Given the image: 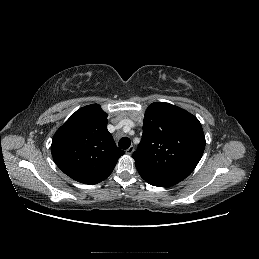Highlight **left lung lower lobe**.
Instances as JSON below:
<instances>
[{"label": "left lung lower lobe", "mask_w": 259, "mask_h": 259, "mask_svg": "<svg viewBox=\"0 0 259 259\" xmlns=\"http://www.w3.org/2000/svg\"><path fill=\"white\" fill-rule=\"evenodd\" d=\"M136 168L140 174V176L149 184L153 186H158V187H169L173 186L180 181L157 174L148 168L140 165H136Z\"/></svg>", "instance_id": "0a47b994"}]
</instances>
